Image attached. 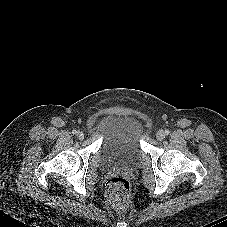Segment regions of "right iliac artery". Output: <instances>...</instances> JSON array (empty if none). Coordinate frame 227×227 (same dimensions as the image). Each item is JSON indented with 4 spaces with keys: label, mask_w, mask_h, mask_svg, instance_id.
<instances>
[{
    "label": "right iliac artery",
    "mask_w": 227,
    "mask_h": 227,
    "mask_svg": "<svg viewBox=\"0 0 227 227\" xmlns=\"http://www.w3.org/2000/svg\"><path fill=\"white\" fill-rule=\"evenodd\" d=\"M72 133H73V134H76V133H77V131H76V130H73V131H72Z\"/></svg>",
    "instance_id": "right-iliac-artery-1"
}]
</instances>
